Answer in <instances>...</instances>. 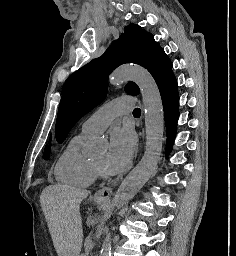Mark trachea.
<instances>
[{"label":"trachea","mask_w":236,"mask_h":256,"mask_svg":"<svg viewBox=\"0 0 236 256\" xmlns=\"http://www.w3.org/2000/svg\"><path fill=\"white\" fill-rule=\"evenodd\" d=\"M133 114H134V115H135V114H141L140 108H135V109L133 110Z\"/></svg>","instance_id":"1"}]
</instances>
